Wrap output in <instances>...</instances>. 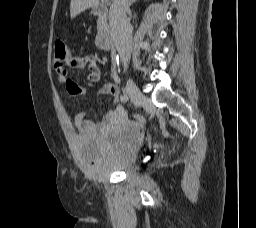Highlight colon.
<instances>
[{"label": "colon", "instance_id": "1", "mask_svg": "<svg viewBox=\"0 0 256 228\" xmlns=\"http://www.w3.org/2000/svg\"><path fill=\"white\" fill-rule=\"evenodd\" d=\"M71 52L69 51L65 42L58 40L55 42L54 46V61L59 64H65L70 58ZM138 122L142 125L146 124V120L142 117L137 115L136 116Z\"/></svg>", "mask_w": 256, "mask_h": 228}]
</instances>
